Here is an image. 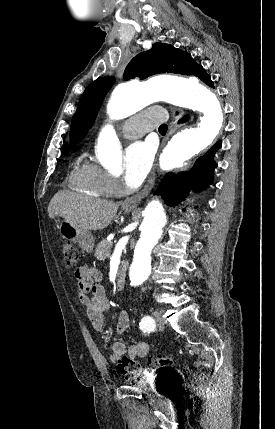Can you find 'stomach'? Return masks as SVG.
<instances>
[{
	"instance_id": "0dacf381",
	"label": "stomach",
	"mask_w": 275,
	"mask_h": 429,
	"mask_svg": "<svg viewBox=\"0 0 275 429\" xmlns=\"http://www.w3.org/2000/svg\"><path fill=\"white\" fill-rule=\"evenodd\" d=\"M131 210H133V208H125L126 212ZM57 229L63 238L77 242L86 252H92L94 248V237L90 231L77 228L64 218L57 221Z\"/></svg>"
}]
</instances>
